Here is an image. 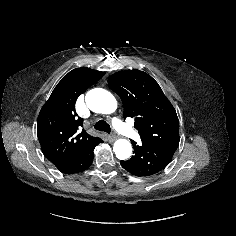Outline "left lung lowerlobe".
Listing matches in <instances>:
<instances>
[{"mask_svg":"<svg viewBox=\"0 0 236 236\" xmlns=\"http://www.w3.org/2000/svg\"><path fill=\"white\" fill-rule=\"evenodd\" d=\"M134 156L121 161V166L129 173L139 176H151L164 169L172 160L179 142H149L137 145L131 141Z\"/></svg>","mask_w":236,"mask_h":236,"instance_id":"left-lung-lower-lobe-1","label":"left lung lower lobe"}]
</instances>
